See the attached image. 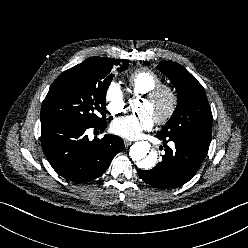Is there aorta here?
<instances>
[{
	"label": "aorta",
	"instance_id": "obj_1",
	"mask_svg": "<svg viewBox=\"0 0 248 248\" xmlns=\"http://www.w3.org/2000/svg\"><path fill=\"white\" fill-rule=\"evenodd\" d=\"M129 103L134 108L136 100H129ZM129 155L139 168L146 170L153 168L158 161L157 153L151 151V145L147 141L135 142L130 148Z\"/></svg>",
	"mask_w": 248,
	"mask_h": 248
}]
</instances>
